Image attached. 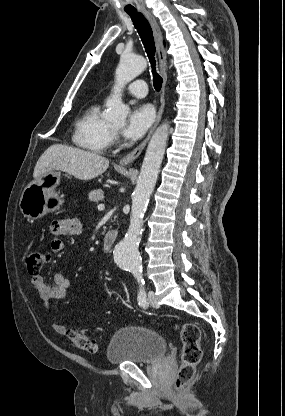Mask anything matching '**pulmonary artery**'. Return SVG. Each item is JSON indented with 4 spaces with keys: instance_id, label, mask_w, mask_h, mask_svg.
I'll return each instance as SVG.
<instances>
[{
    "instance_id": "1",
    "label": "pulmonary artery",
    "mask_w": 285,
    "mask_h": 416,
    "mask_svg": "<svg viewBox=\"0 0 285 416\" xmlns=\"http://www.w3.org/2000/svg\"><path fill=\"white\" fill-rule=\"evenodd\" d=\"M145 81L142 79H137L130 83L127 86V91L136 97H144L148 94V89L146 87H140L145 85Z\"/></svg>"
}]
</instances>
